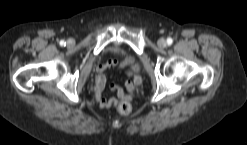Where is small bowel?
<instances>
[{
    "mask_svg": "<svg viewBox=\"0 0 247 145\" xmlns=\"http://www.w3.org/2000/svg\"><path fill=\"white\" fill-rule=\"evenodd\" d=\"M110 67H119L125 68L127 67V76L132 78L131 80H127L124 84V87L113 86V90L117 92V96L121 100H130V95L134 91L135 85L140 82V77L136 75V72L139 70L138 64L135 62V59L131 56L123 57L120 60L110 59L104 64H100L96 68V80L94 93L97 103L101 109H108L110 107H114L117 104V99H106L103 96V92L106 87V77L104 75V71Z\"/></svg>",
    "mask_w": 247,
    "mask_h": 145,
    "instance_id": "1",
    "label": "small bowel"
}]
</instances>
